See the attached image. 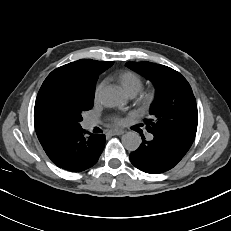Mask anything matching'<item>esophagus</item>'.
I'll return each mask as SVG.
<instances>
[{"instance_id": "34e87169", "label": "esophagus", "mask_w": 231, "mask_h": 231, "mask_svg": "<svg viewBox=\"0 0 231 231\" xmlns=\"http://www.w3.org/2000/svg\"><path fill=\"white\" fill-rule=\"evenodd\" d=\"M124 133L123 130H112L109 132V135L114 136V135H122Z\"/></svg>"}]
</instances>
